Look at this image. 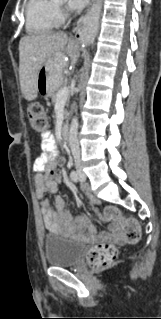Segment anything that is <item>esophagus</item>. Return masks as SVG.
<instances>
[{"mask_svg":"<svg viewBox=\"0 0 161 319\" xmlns=\"http://www.w3.org/2000/svg\"><path fill=\"white\" fill-rule=\"evenodd\" d=\"M82 33H83L82 26H78L77 29L75 30V37L81 43L86 44L87 41L82 37Z\"/></svg>","mask_w":161,"mask_h":319,"instance_id":"obj_1","label":"esophagus"}]
</instances>
